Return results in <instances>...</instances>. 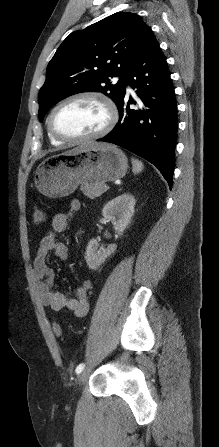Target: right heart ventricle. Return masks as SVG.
Listing matches in <instances>:
<instances>
[{
	"instance_id": "e07e8e85",
	"label": "right heart ventricle",
	"mask_w": 219,
	"mask_h": 447,
	"mask_svg": "<svg viewBox=\"0 0 219 447\" xmlns=\"http://www.w3.org/2000/svg\"><path fill=\"white\" fill-rule=\"evenodd\" d=\"M48 136H49V139H50L51 143H53L54 145H59V144H61V141L58 140V139H56L55 137H53V136L50 134L49 130H48Z\"/></svg>"
}]
</instances>
